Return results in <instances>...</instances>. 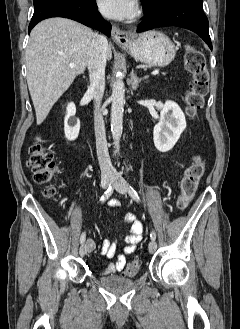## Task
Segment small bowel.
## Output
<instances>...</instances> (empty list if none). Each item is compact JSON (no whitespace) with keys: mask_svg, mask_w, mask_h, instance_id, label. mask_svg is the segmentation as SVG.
Here are the masks:
<instances>
[{"mask_svg":"<svg viewBox=\"0 0 240 329\" xmlns=\"http://www.w3.org/2000/svg\"><path fill=\"white\" fill-rule=\"evenodd\" d=\"M120 204V201L117 199H112L109 202L111 207H118ZM123 222L128 224L130 227V232L124 240L126 245L123 249V253L117 254V243L111 242L109 240H104L100 247V252L102 255L106 256L107 258L116 257L115 262L108 263L100 271L102 276L111 275L113 273L122 271L126 265V255L132 254L136 250L137 245L143 239L144 226L135 214H126L123 217ZM86 246L87 251L89 252H93L96 249V243L92 239L87 240Z\"/></svg>","mask_w":240,"mask_h":329,"instance_id":"obj_1","label":"small bowel"}]
</instances>
